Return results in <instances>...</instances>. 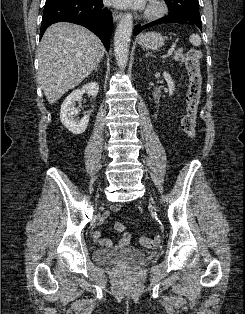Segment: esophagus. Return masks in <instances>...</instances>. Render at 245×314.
<instances>
[{
    "label": "esophagus",
    "mask_w": 245,
    "mask_h": 314,
    "mask_svg": "<svg viewBox=\"0 0 245 314\" xmlns=\"http://www.w3.org/2000/svg\"><path fill=\"white\" fill-rule=\"evenodd\" d=\"M112 15H113L114 21L117 22L122 17V12L113 10Z\"/></svg>",
    "instance_id": "esophagus-1"
}]
</instances>
